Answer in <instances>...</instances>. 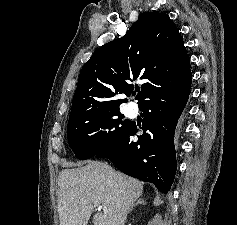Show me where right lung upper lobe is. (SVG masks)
<instances>
[{
    "instance_id": "1",
    "label": "right lung upper lobe",
    "mask_w": 237,
    "mask_h": 225,
    "mask_svg": "<svg viewBox=\"0 0 237 225\" xmlns=\"http://www.w3.org/2000/svg\"><path fill=\"white\" fill-rule=\"evenodd\" d=\"M137 79L148 80L138 93V105L165 83L192 79L182 36L165 13H144L123 37L94 52L81 69L68 122L119 109L126 99L117 95H130V82Z\"/></svg>"
}]
</instances>
